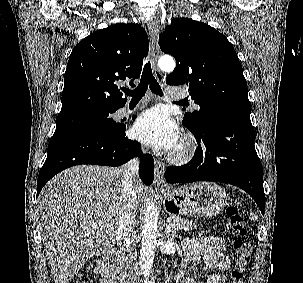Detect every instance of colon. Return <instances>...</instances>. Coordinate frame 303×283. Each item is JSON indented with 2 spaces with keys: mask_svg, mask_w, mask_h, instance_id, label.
<instances>
[{
  "mask_svg": "<svg viewBox=\"0 0 303 283\" xmlns=\"http://www.w3.org/2000/svg\"><path fill=\"white\" fill-rule=\"evenodd\" d=\"M227 228L233 234V249L235 252L234 266L230 272L228 283H244L246 268L249 263L252 246L247 238V229L234 205L227 208ZM73 283H90L89 275L82 273Z\"/></svg>",
  "mask_w": 303,
  "mask_h": 283,
  "instance_id": "colon-1",
  "label": "colon"
}]
</instances>
